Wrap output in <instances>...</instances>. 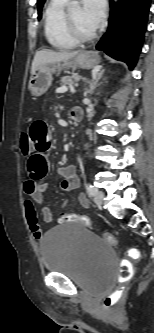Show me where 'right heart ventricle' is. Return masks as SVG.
<instances>
[{"label": "right heart ventricle", "instance_id": "e07e8e85", "mask_svg": "<svg viewBox=\"0 0 154 333\" xmlns=\"http://www.w3.org/2000/svg\"><path fill=\"white\" fill-rule=\"evenodd\" d=\"M68 0H49L43 13L44 34L48 43L55 49L69 50L78 45L68 33L64 14Z\"/></svg>", "mask_w": 154, "mask_h": 333}]
</instances>
